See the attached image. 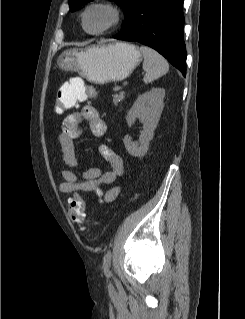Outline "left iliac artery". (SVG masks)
<instances>
[{"label":"left iliac artery","mask_w":245,"mask_h":319,"mask_svg":"<svg viewBox=\"0 0 245 319\" xmlns=\"http://www.w3.org/2000/svg\"><path fill=\"white\" fill-rule=\"evenodd\" d=\"M110 265H111V251L108 250L103 259L104 273L107 277L111 276Z\"/></svg>","instance_id":"obj_1"}]
</instances>
